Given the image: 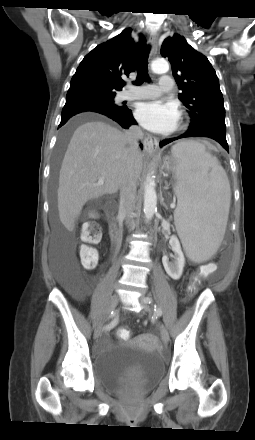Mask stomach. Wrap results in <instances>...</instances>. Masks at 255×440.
Masks as SVG:
<instances>
[{
    "label": "stomach",
    "instance_id": "obj_1",
    "mask_svg": "<svg viewBox=\"0 0 255 440\" xmlns=\"http://www.w3.org/2000/svg\"><path fill=\"white\" fill-rule=\"evenodd\" d=\"M164 167L168 170V171H176L177 168V161L174 158H167L164 161Z\"/></svg>",
    "mask_w": 255,
    "mask_h": 440
}]
</instances>
